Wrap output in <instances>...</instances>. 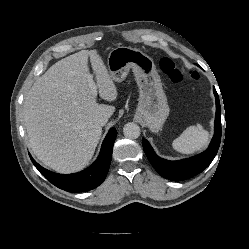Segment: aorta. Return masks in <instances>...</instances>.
<instances>
[{"label":"aorta","mask_w":249,"mask_h":249,"mask_svg":"<svg viewBox=\"0 0 249 249\" xmlns=\"http://www.w3.org/2000/svg\"><path fill=\"white\" fill-rule=\"evenodd\" d=\"M125 137L129 139H137L140 136V127L136 123H127L123 128Z\"/></svg>","instance_id":"762f6f07"}]
</instances>
